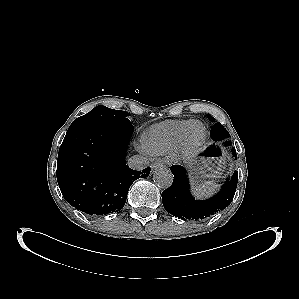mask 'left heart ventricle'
Here are the masks:
<instances>
[{"label": "left heart ventricle", "mask_w": 299, "mask_h": 299, "mask_svg": "<svg viewBox=\"0 0 299 299\" xmlns=\"http://www.w3.org/2000/svg\"><path fill=\"white\" fill-rule=\"evenodd\" d=\"M201 135H202V127L199 124L193 125L189 130L188 142L190 144L196 143L201 138Z\"/></svg>", "instance_id": "left-heart-ventricle-1"}]
</instances>
